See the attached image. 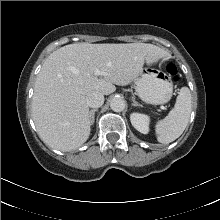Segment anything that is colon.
Wrapping results in <instances>:
<instances>
[{
	"label": "colon",
	"mask_w": 220,
	"mask_h": 220,
	"mask_svg": "<svg viewBox=\"0 0 220 220\" xmlns=\"http://www.w3.org/2000/svg\"><path fill=\"white\" fill-rule=\"evenodd\" d=\"M166 70L169 73V75H171L175 80H177V78H178L177 68L173 63L167 62L166 63Z\"/></svg>",
	"instance_id": "obj_1"
}]
</instances>
